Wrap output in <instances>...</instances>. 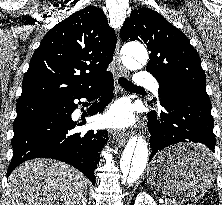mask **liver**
Returning <instances> with one entry per match:
<instances>
[{"label": "liver", "mask_w": 222, "mask_h": 205, "mask_svg": "<svg viewBox=\"0 0 222 205\" xmlns=\"http://www.w3.org/2000/svg\"><path fill=\"white\" fill-rule=\"evenodd\" d=\"M87 179L75 168L40 158L19 165L9 176L6 205H83Z\"/></svg>", "instance_id": "1"}]
</instances>
